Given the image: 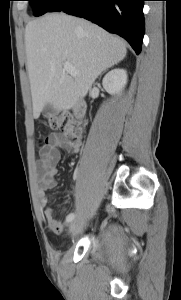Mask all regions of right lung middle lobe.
<instances>
[{
  "instance_id": "right-lung-middle-lobe-1",
  "label": "right lung middle lobe",
  "mask_w": 181,
  "mask_h": 300,
  "mask_svg": "<svg viewBox=\"0 0 181 300\" xmlns=\"http://www.w3.org/2000/svg\"><path fill=\"white\" fill-rule=\"evenodd\" d=\"M34 9V15L40 16L46 12L54 11L62 0H27Z\"/></svg>"
}]
</instances>
